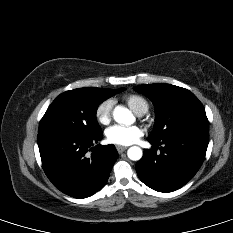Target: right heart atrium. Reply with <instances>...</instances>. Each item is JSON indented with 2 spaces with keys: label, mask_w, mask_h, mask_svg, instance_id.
<instances>
[{
  "label": "right heart atrium",
  "mask_w": 233,
  "mask_h": 233,
  "mask_svg": "<svg viewBox=\"0 0 233 233\" xmlns=\"http://www.w3.org/2000/svg\"><path fill=\"white\" fill-rule=\"evenodd\" d=\"M114 101L112 99H106L98 104L95 110L96 120L101 124H108L113 109Z\"/></svg>",
  "instance_id": "right-heart-atrium-1"
}]
</instances>
